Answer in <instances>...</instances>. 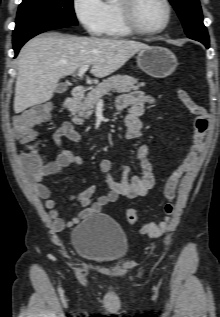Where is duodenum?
I'll use <instances>...</instances> for the list:
<instances>
[{"label":"duodenum","mask_w":220,"mask_h":317,"mask_svg":"<svg viewBox=\"0 0 220 317\" xmlns=\"http://www.w3.org/2000/svg\"><path fill=\"white\" fill-rule=\"evenodd\" d=\"M84 86H76L73 88L70 96L65 100L63 108L65 111L73 110L76 103L84 96L85 94Z\"/></svg>","instance_id":"410a0bca"}]
</instances>
